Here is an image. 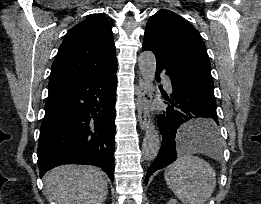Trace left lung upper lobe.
<instances>
[{"instance_id": "left-lung-upper-lobe-1", "label": "left lung upper lobe", "mask_w": 261, "mask_h": 204, "mask_svg": "<svg viewBox=\"0 0 261 204\" xmlns=\"http://www.w3.org/2000/svg\"><path fill=\"white\" fill-rule=\"evenodd\" d=\"M143 50L155 54L157 64L214 89L210 60L199 32L183 17L160 10L147 22Z\"/></svg>"}]
</instances>
